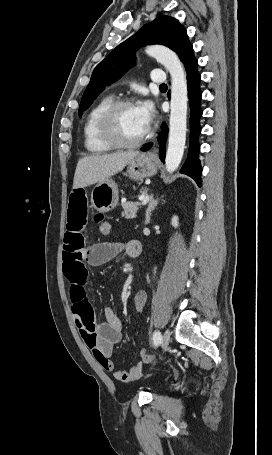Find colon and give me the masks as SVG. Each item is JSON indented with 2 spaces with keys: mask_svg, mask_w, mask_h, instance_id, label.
I'll return each mask as SVG.
<instances>
[{
  "mask_svg": "<svg viewBox=\"0 0 272 455\" xmlns=\"http://www.w3.org/2000/svg\"><path fill=\"white\" fill-rule=\"evenodd\" d=\"M94 221L98 224L99 231L102 236H108L110 234L111 225L103 214L101 213L96 214L94 216ZM139 357L141 358L142 361L146 363L151 362L153 359L152 355L144 349L139 351Z\"/></svg>",
  "mask_w": 272,
  "mask_h": 455,
  "instance_id": "5ec220e1",
  "label": "colon"
}]
</instances>
